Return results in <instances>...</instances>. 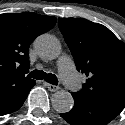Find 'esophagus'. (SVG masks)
<instances>
[{
	"mask_svg": "<svg viewBox=\"0 0 125 125\" xmlns=\"http://www.w3.org/2000/svg\"><path fill=\"white\" fill-rule=\"evenodd\" d=\"M44 84L48 88V90L51 91V92H56L59 89V87L56 86V85H53V84H50V83H44Z\"/></svg>",
	"mask_w": 125,
	"mask_h": 125,
	"instance_id": "34e87169",
	"label": "esophagus"
}]
</instances>
